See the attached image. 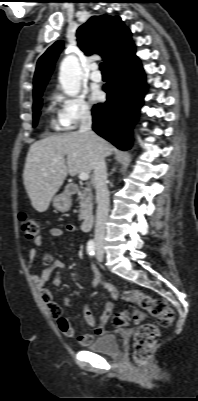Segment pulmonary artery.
<instances>
[{"label":"pulmonary artery","mask_w":198,"mask_h":401,"mask_svg":"<svg viewBox=\"0 0 198 401\" xmlns=\"http://www.w3.org/2000/svg\"><path fill=\"white\" fill-rule=\"evenodd\" d=\"M90 79H91L93 82H96V83L102 81V74H101V72L99 71V66H98V64H96V63H93V64L91 65Z\"/></svg>","instance_id":"1"}]
</instances>
